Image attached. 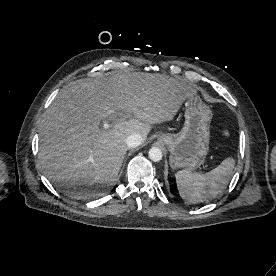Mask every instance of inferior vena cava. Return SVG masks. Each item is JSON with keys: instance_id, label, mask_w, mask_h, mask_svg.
Here are the masks:
<instances>
[{"instance_id": "1", "label": "inferior vena cava", "mask_w": 276, "mask_h": 276, "mask_svg": "<svg viewBox=\"0 0 276 276\" xmlns=\"http://www.w3.org/2000/svg\"><path fill=\"white\" fill-rule=\"evenodd\" d=\"M142 143V137L140 134L134 133L128 136L126 144L129 148H136Z\"/></svg>"}]
</instances>
